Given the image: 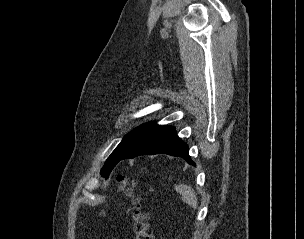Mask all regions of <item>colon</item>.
<instances>
[{"label": "colon", "instance_id": "1", "mask_svg": "<svg viewBox=\"0 0 304 239\" xmlns=\"http://www.w3.org/2000/svg\"><path fill=\"white\" fill-rule=\"evenodd\" d=\"M121 188L131 197L134 206V233L135 239H153L149 225V214L144 210V195L137 191L136 181L125 175L117 178Z\"/></svg>", "mask_w": 304, "mask_h": 239}]
</instances>
